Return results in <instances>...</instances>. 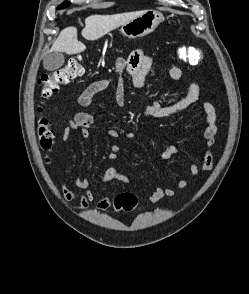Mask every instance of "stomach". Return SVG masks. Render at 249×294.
I'll return each instance as SVG.
<instances>
[{"instance_id":"0dacf381","label":"stomach","mask_w":249,"mask_h":294,"mask_svg":"<svg viewBox=\"0 0 249 294\" xmlns=\"http://www.w3.org/2000/svg\"><path fill=\"white\" fill-rule=\"evenodd\" d=\"M163 19L164 17L160 12L148 10L141 16L124 24L121 27V33L130 39L144 37L152 33Z\"/></svg>"}]
</instances>
